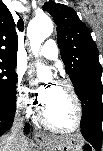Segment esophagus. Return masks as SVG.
Instances as JSON below:
<instances>
[{"mask_svg": "<svg viewBox=\"0 0 103 151\" xmlns=\"http://www.w3.org/2000/svg\"><path fill=\"white\" fill-rule=\"evenodd\" d=\"M34 138L38 141V142H45L47 140V137L40 133V132H35L34 133Z\"/></svg>", "mask_w": 103, "mask_h": 151, "instance_id": "esophagus-1", "label": "esophagus"}]
</instances>
